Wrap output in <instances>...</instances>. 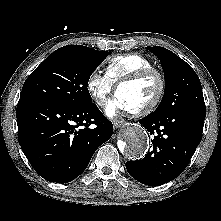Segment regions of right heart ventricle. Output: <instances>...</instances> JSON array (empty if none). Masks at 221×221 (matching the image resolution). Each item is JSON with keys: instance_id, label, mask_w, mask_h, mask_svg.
<instances>
[{"instance_id": "right-heart-ventricle-1", "label": "right heart ventricle", "mask_w": 221, "mask_h": 221, "mask_svg": "<svg viewBox=\"0 0 221 221\" xmlns=\"http://www.w3.org/2000/svg\"><path fill=\"white\" fill-rule=\"evenodd\" d=\"M146 68H153V63L139 53H126L112 57L106 66L105 74L115 85L121 79Z\"/></svg>"}]
</instances>
